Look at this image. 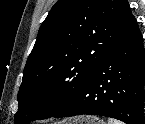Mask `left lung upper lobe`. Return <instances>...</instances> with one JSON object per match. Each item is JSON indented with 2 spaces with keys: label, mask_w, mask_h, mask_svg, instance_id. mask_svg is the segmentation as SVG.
Masks as SVG:
<instances>
[{
  "label": "left lung upper lobe",
  "mask_w": 145,
  "mask_h": 124,
  "mask_svg": "<svg viewBox=\"0 0 145 124\" xmlns=\"http://www.w3.org/2000/svg\"><path fill=\"white\" fill-rule=\"evenodd\" d=\"M127 0H58L42 23L18 92L15 124L46 119L71 102L126 31Z\"/></svg>",
  "instance_id": "5c2ea615"
}]
</instances>
